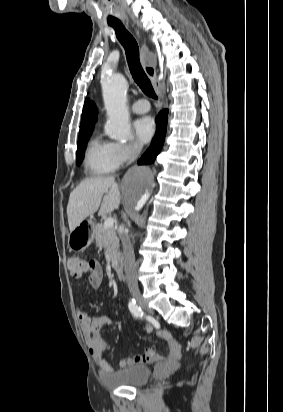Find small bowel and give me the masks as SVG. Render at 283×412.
<instances>
[{"instance_id": "obj_1", "label": "small bowel", "mask_w": 283, "mask_h": 412, "mask_svg": "<svg viewBox=\"0 0 283 412\" xmlns=\"http://www.w3.org/2000/svg\"><path fill=\"white\" fill-rule=\"evenodd\" d=\"M88 273V282L90 287L93 289H98L103 282V270L100 264L96 262L95 270ZM76 315L94 361L99 366L103 375L109 373L110 371H112V367L104 356L105 352L109 349V344L100 336V330L103 327L111 324V317L108 315L91 316L89 313L81 309L76 310ZM152 330V325L147 324L145 326L146 333H151ZM157 334L167 342V356L164 357L158 355L151 348H147L146 351L141 355L122 359L119 363L120 367L126 368L134 364H145L162 360H177L180 355L179 343L167 331H158Z\"/></svg>"}]
</instances>
